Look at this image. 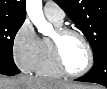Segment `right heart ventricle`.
I'll return each instance as SVG.
<instances>
[{
  "label": "right heart ventricle",
  "mask_w": 107,
  "mask_h": 89,
  "mask_svg": "<svg viewBox=\"0 0 107 89\" xmlns=\"http://www.w3.org/2000/svg\"><path fill=\"white\" fill-rule=\"evenodd\" d=\"M49 20L55 25L56 28L62 27V22H57L53 19ZM34 71L40 76L47 77H61L64 75L55 63L51 38L49 37H43L40 41L39 57Z\"/></svg>",
  "instance_id": "1"
}]
</instances>
